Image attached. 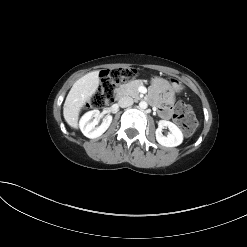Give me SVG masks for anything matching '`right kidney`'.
Segmentation results:
<instances>
[{
	"label": "right kidney",
	"instance_id": "1",
	"mask_svg": "<svg viewBox=\"0 0 247 247\" xmlns=\"http://www.w3.org/2000/svg\"><path fill=\"white\" fill-rule=\"evenodd\" d=\"M100 116L99 110H92L85 113L79 122V127L82 133L90 138L94 139L101 136L110 126L112 122V116L107 115L102 124L99 127H95L98 124V118ZM94 118L92 121L91 119Z\"/></svg>",
	"mask_w": 247,
	"mask_h": 247
}]
</instances>
